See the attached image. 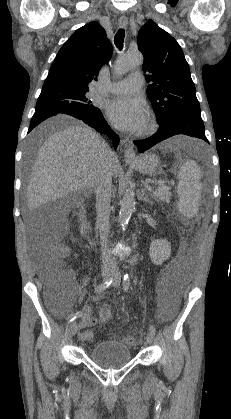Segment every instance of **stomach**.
I'll use <instances>...</instances> for the list:
<instances>
[{
  "label": "stomach",
  "instance_id": "0dacf381",
  "mask_svg": "<svg viewBox=\"0 0 231 419\" xmlns=\"http://www.w3.org/2000/svg\"><path fill=\"white\" fill-rule=\"evenodd\" d=\"M128 163L145 175L156 176L160 172L159 157L151 152L141 154Z\"/></svg>",
  "mask_w": 231,
  "mask_h": 419
}]
</instances>
